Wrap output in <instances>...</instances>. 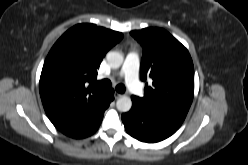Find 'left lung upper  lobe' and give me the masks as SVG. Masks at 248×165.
<instances>
[{"label":"left lung upper lobe","mask_w":248,"mask_h":165,"mask_svg":"<svg viewBox=\"0 0 248 165\" xmlns=\"http://www.w3.org/2000/svg\"><path fill=\"white\" fill-rule=\"evenodd\" d=\"M143 46L140 74L149 75L152 86H145L143 98L132 96L141 106L184 121L194 95V66L188 50L161 28L131 31Z\"/></svg>","instance_id":"obj_1"}]
</instances>
